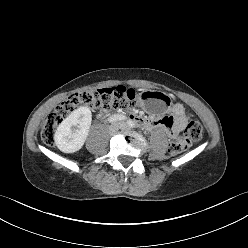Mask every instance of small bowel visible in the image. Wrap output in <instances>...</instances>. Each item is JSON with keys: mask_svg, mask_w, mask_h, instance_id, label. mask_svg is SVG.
<instances>
[{"mask_svg": "<svg viewBox=\"0 0 248 248\" xmlns=\"http://www.w3.org/2000/svg\"><path fill=\"white\" fill-rule=\"evenodd\" d=\"M133 118L139 121L147 129L162 128L170 138H176L182 132L187 121L185 109L181 104H176L173 107L172 116L153 119L135 115Z\"/></svg>", "mask_w": 248, "mask_h": 248, "instance_id": "obj_1", "label": "small bowel"}]
</instances>
